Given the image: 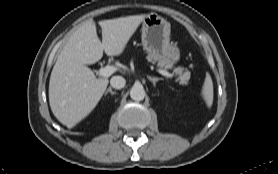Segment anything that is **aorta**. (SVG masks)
Returning <instances> with one entry per match:
<instances>
[{"mask_svg": "<svg viewBox=\"0 0 278 174\" xmlns=\"http://www.w3.org/2000/svg\"><path fill=\"white\" fill-rule=\"evenodd\" d=\"M146 93L142 85H134L130 89V97L134 101H141L144 99Z\"/></svg>", "mask_w": 278, "mask_h": 174, "instance_id": "aorta-1", "label": "aorta"}]
</instances>
